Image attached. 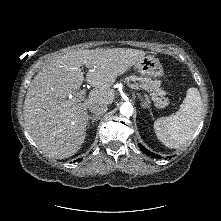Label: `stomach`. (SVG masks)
<instances>
[{
    "label": "stomach",
    "instance_id": "stomach-1",
    "mask_svg": "<svg viewBox=\"0 0 221 221\" xmlns=\"http://www.w3.org/2000/svg\"><path fill=\"white\" fill-rule=\"evenodd\" d=\"M135 69L149 78H160L164 75V69L160 61L153 56H144L136 64Z\"/></svg>",
    "mask_w": 221,
    "mask_h": 221
}]
</instances>
